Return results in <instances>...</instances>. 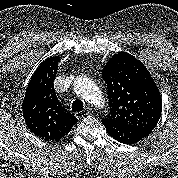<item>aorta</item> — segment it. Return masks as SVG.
I'll use <instances>...</instances> for the list:
<instances>
[{
  "instance_id": "762f6f07",
  "label": "aorta",
  "mask_w": 178,
  "mask_h": 178,
  "mask_svg": "<svg viewBox=\"0 0 178 178\" xmlns=\"http://www.w3.org/2000/svg\"><path fill=\"white\" fill-rule=\"evenodd\" d=\"M73 85L75 92L80 94L91 104L96 106L104 105V98L101 91L90 79L79 76L76 78Z\"/></svg>"
}]
</instances>
